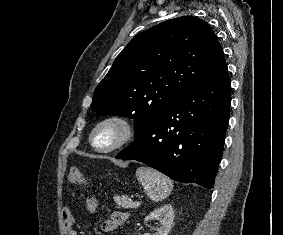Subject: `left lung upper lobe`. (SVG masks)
<instances>
[{"mask_svg":"<svg viewBox=\"0 0 283 235\" xmlns=\"http://www.w3.org/2000/svg\"><path fill=\"white\" fill-rule=\"evenodd\" d=\"M215 33L203 20L182 16L136 35L96 87L91 108L134 118L135 139L187 89L225 64Z\"/></svg>","mask_w":283,"mask_h":235,"instance_id":"obj_1","label":"left lung upper lobe"}]
</instances>
